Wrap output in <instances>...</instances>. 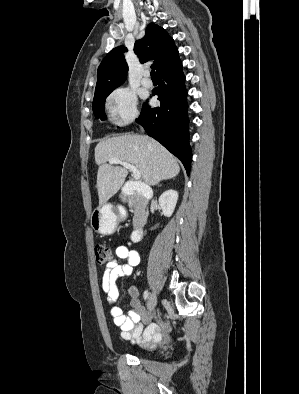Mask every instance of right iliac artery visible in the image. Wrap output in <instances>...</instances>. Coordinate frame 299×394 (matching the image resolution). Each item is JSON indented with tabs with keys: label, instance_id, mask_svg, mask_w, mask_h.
Returning <instances> with one entry per match:
<instances>
[{
	"label": "right iliac artery",
	"instance_id": "82829eb1",
	"mask_svg": "<svg viewBox=\"0 0 299 394\" xmlns=\"http://www.w3.org/2000/svg\"><path fill=\"white\" fill-rule=\"evenodd\" d=\"M144 300H147L149 297V292L146 290L143 294Z\"/></svg>",
	"mask_w": 299,
	"mask_h": 394
}]
</instances>
